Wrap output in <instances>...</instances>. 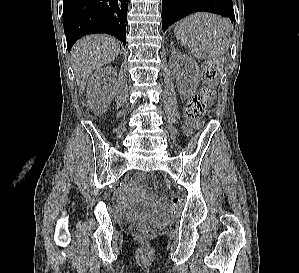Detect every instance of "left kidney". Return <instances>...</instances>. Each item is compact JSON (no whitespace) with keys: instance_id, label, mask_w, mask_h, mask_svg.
<instances>
[{"instance_id":"5707ae66","label":"left kidney","mask_w":299,"mask_h":273,"mask_svg":"<svg viewBox=\"0 0 299 273\" xmlns=\"http://www.w3.org/2000/svg\"><path fill=\"white\" fill-rule=\"evenodd\" d=\"M182 64L185 65L184 69L181 68ZM170 65L180 94L184 97L191 96L196 91L200 78L197 63L191 57L174 49L171 53ZM186 76L190 78L188 87L184 85L183 80Z\"/></svg>"}]
</instances>
